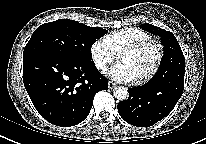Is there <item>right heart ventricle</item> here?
<instances>
[{
    "label": "right heart ventricle",
    "mask_w": 206,
    "mask_h": 144,
    "mask_svg": "<svg viewBox=\"0 0 206 144\" xmlns=\"http://www.w3.org/2000/svg\"><path fill=\"white\" fill-rule=\"evenodd\" d=\"M105 38L115 54H118L121 49L128 45L152 39L149 33L135 27H127L113 31Z\"/></svg>",
    "instance_id": "right-heart-ventricle-1"
}]
</instances>
